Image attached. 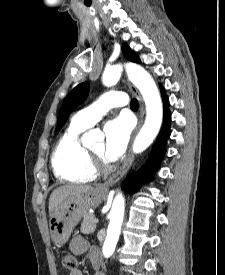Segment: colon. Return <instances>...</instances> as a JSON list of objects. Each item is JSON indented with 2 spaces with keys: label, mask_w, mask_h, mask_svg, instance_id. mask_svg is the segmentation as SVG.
<instances>
[{
  "label": "colon",
  "mask_w": 225,
  "mask_h": 275,
  "mask_svg": "<svg viewBox=\"0 0 225 275\" xmlns=\"http://www.w3.org/2000/svg\"><path fill=\"white\" fill-rule=\"evenodd\" d=\"M62 265L68 271L77 270V260L74 255L66 254L62 258Z\"/></svg>",
  "instance_id": "1"
}]
</instances>
